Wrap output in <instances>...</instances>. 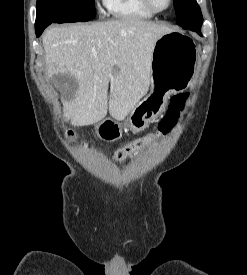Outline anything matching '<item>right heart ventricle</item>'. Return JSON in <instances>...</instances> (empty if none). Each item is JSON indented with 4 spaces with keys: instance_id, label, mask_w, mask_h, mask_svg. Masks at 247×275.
<instances>
[{
    "instance_id": "1",
    "label": "right heart ventricle",
    "mask_w": 247,
    "mask_h": 275,
    "mask_svg": "<svg viewBox=\"0 0 247 275\" xmlns=\"http://www.w3.org/2000/svg\"><path fill=\"white\" fill-rule=\"evenodd\" d=\"M109 13L119 19H150L154 13L145 7L142 0H106Z\"/></svg>"
}]
</instances>
